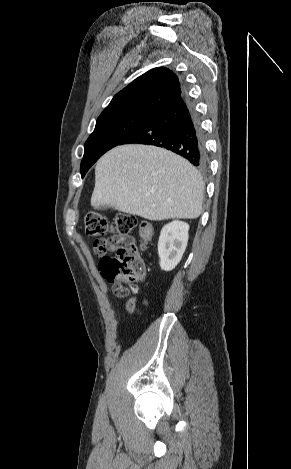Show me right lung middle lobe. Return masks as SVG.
I'll return each mask as SVG.
<instances>
[{
  "label": "right lung middle lobe",
  "mask_w": 291,
  "mask_h": 469,
  "mask_svg": "<svg viewBox=\"0 0 291 469\" xmlns=\"http://www.w3.org/2000/svg\"><path fill=\"white\" fill-rule=\"evenodd\" d=\"M152 114L147 111L128 110L99 116L93 133L85 143L80 168L82 177L101 155L118 145Z\"/></svg>",
  "instance_id": "obj_1"
}]
</instances>
